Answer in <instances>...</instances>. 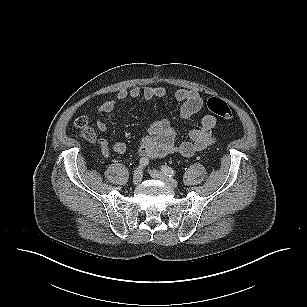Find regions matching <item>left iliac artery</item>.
I'll return each mask as SVG.
<instances>
[{"label":"left iliac artery","instance_id":"obj_1","mask_svg":"<svg viewBox=\"0 0 307 307\" xmlns=\"http://www.w3.org/2000/svg\"><path fill=\"white\" fill-rule=\"evenodd\" d=\"M161 170L169 177H173L176 173L171 167L168 166H162Z\"/></svg>","mask_w":307,"mask_h":307}]
</instances>
